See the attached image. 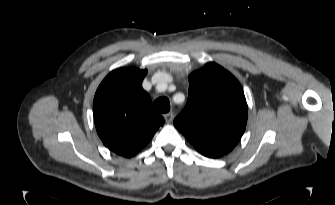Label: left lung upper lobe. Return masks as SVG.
Returning <instances> with one entry per match:
<instances>
[{
	"instance_id": "obj_1",
	"label": "left lung upper lobe",
	"mask_w": 335,
	"mask_h": 205,
	"mask_svg": "<svg viewBox=\"0 0 335 205\" xmlns=\"http://www.w3.org/2000/svg\"><path fill=\"white\" fill-rule=\"evenodd\" d=\"M188 101L175 127L205 156L229 153L242 137L247 103L237 79L216 63L189 75Z\"/></svg>"
}]
</instances>
